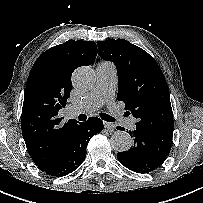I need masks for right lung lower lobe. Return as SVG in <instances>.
I'll return each instance as SVG.
<instances>
[{"label":"right lung lower lobe","mask_w":203,"mask_h":203,"mask_svg":"<svg viewBox=\"0 0 203 203\" xmlns=\"http://www.w3.org/2000/svg\"><path fill=\"white\" fill-rule=\"evenodd\" d=\"M102 130L103 122L97 117H90L86 122L72 125L54 160L39 169L55 177L73 172L83 162L89 140Z\"/></svg>","instance_id":"98d812e1"}]
</instances>
